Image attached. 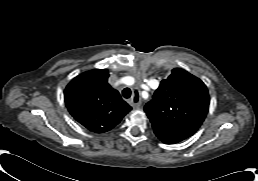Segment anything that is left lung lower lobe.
Masks as SVG:
<instances>
[{"label": "left lung lower lobe", "instance_id": "obj_1", "mask_svg": "<svg viewBox=\"0 0 258 181\" xmlns=\"http://www.w3.org/2000/svg\"><path fill=\"white\" fill-rule=\"evenodd\" d=\"M156 134V136L164 143L166 144H174V143H177V142H180L182 141L183 139L181 138H178V137H175V136H172V135H168V134H165L163 132H157L155 131L154 132Z\"/></svg>", "mask_w": 258, "mask_h": 181}]
</instances>
